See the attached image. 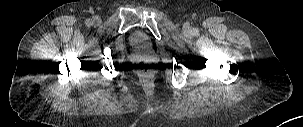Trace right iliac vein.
<instances>
[{"label":"right iliac vein","instance_id":"obj_1","mask_svg":"<svg viewBox=\"0 0 303 127\" xmlns=\"http://www.w3.org/2000/svg\"><path fill=\"white\" fill-rule=\"evenodd\" d=\"M93 23H94L95 25H99V24L101 23V18H100L99 16H95V17L93 18Z\"/></svg>","mask_w":303,"mask_h":127}]
</instances>
